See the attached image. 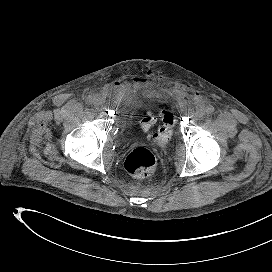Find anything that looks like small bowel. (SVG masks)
Returning <instances> with one entry per match:
<instances>
[{"label":"small bowel","mask_w":272,"mask_h":272,"mask_svg":"<svg viewBox=\"0 0 272 272\" xmlns=\"http://www.w3.org/2000/svg\"><path fill=\"white\" fill-rule=\"evenodd\" d=\"M116 88H120V84L119 83H115L114 85Z\"/></svg>","instance_id":"small-bowel-1"}]
</instances>
